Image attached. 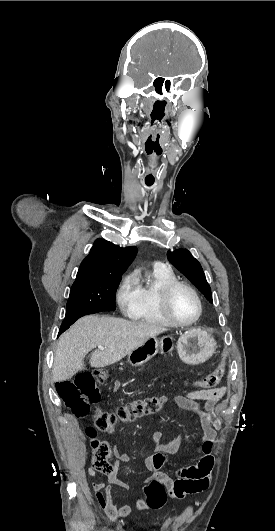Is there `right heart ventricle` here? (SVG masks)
I'll return each mask as SVG.
<instances>
[{
	"label": "right heart ventricle",
	"mask_w": 275,
	"mask_h": 531,
	"mask_svg": "<svg viewBox=\"0 0 275 531\" xmlns=\"http://www.w3.org/2000/svg\"><path fill=\"white\" fill-rule=\"evenodd\" d=\"M176 277L169 270H155L151 281L139 284L140 301L132 318L142 323L156 326H173L162 314L159 304L161 288Z\"/></svg>",
	"instance_id": "right-heart-ventricle-1"
}]
</instances>
